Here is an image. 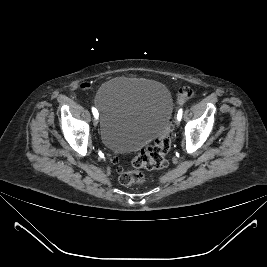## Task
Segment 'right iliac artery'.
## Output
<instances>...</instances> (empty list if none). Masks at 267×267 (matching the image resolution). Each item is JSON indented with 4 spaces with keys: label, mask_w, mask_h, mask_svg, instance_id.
I'll return each instance as SVG.
<instances>
[{
    "label": "right iliac artery",
    "mask_w": 267,
    "mask_h": 267,
    "mask_svg": "<svg viewBox=\"0 0 267 267\" xmlns=\"http://www.w3.org/2000/svg\"><path fill=\"white\" fill-rule=\"evenodd\" d=\"M92 112H93V115H94V117H98V112H97V110L95 109V108H92Z\"/></svg>",
    "instance_id": "right-iliac-artery-1"
}]
</instances>
